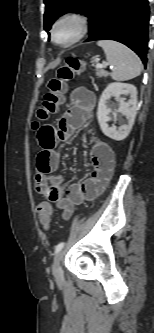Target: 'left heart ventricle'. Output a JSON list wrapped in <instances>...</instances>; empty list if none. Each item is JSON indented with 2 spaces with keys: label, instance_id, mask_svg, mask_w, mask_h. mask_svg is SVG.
<instances>
[{
  "label": "left heart ventricle",
  "instance_id": "left-heart-ventricle-1",
  "mask_svg": "<svg viewBox=\"0 0 154 333\" xmlns=\"http://www.w3.org/2000/svg\"><path fill=\"white\" fill-rule=\"evenodd\" d=\"M73 33V26L71 24H64L58 29V39L67 40Z\"/></svg>",
  "mask_w": 154,
  "mask_h": 333
}]
</instances>
